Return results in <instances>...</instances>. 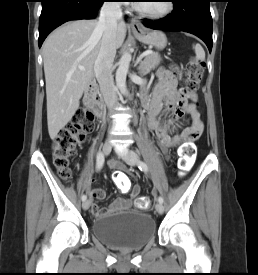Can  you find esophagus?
Wrapping results in <instances>:
<instances>
[{
  "label": "esophagus",
  "mask_w": 258,
  "mask_h": 275,
  "mask_svg": "<svg viewBox=\"0 0 258 275\" xmlns=\"http://www.w3.org/2000/svg\"><path fill=\"white\" fill-rule=\"evenodd\" d=\"M130 27L133 31H141L143 28L140 21L135 17L131 19Z\"/></svg>",
  "instance_id": "esophagus-1"
}]
</instances>
